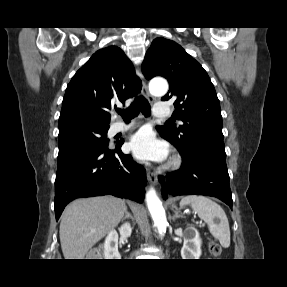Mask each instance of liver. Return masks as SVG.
I'll use <instances>...</instances> for the list:
<instances>
[{
    "label": "liver",
    "instance_id": "obj_1",
    "mask_svg": "<svg viewBox=\"0 0 287 287\" xmlns=\"http://www.w3.org/2000/svg\"><path fill=\"white\" fill-rule=\"evenodd\" d=\"M125 201L113 196L77 199L64 210L60 243L65 259H84L87 252L122 220Z\"/></svg>",
    "mask_w": 287,
    "mask_h": 287
}]
</instances>
